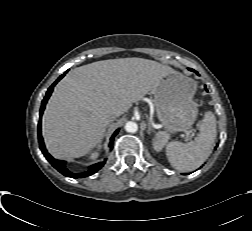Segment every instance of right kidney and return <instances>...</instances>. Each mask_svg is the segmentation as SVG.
Masks as SVG:
<instances>
[{
  "mask_svg": "<svg viewBox=\"0 0 252 231\" xmlns=\"http://www.w3.org/2000/svg\"><path fill=\"white\" fill-rule=\"evenodd\" d=\"M97 156H98V153L94 152V153L91 154L90 158L95 159V158H97Z\"/></svg>",
  "mask_w": 252,
  "mask_h": 231,
  "instance_id": "ca27d5eb",
  "label": "right kidney"
}]
</instances>
